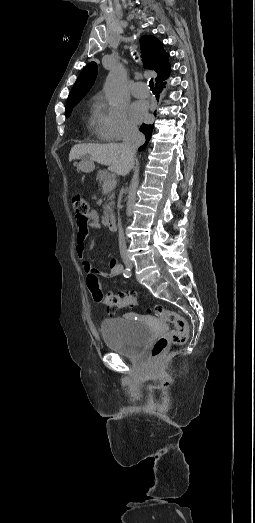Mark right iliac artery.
Returning <instances> with one entry per match:
<instances>
[{
  "mask_svg": "<svg viewBox=\"0 0 255 523\" xmlns=\"http://www.w3.org/2000/svg\"><path fill=\"white\" fill-rule=\"evenodd\" d=\"M123 275L125 277H130L131 276V270L129 268H125L124 271H123Z\"/></svg>",
  "mask_w": 255,
  "mask_h": 523,
  "instance_id": "82829eb1",
  "label": "right iliac artery"
}]
</instances>
